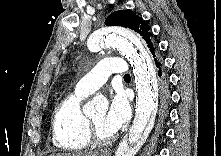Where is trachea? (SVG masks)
<instances>
[{"mask_svg":"<svg viewBox=\"0 0 221 156\" xmlns=\"http://www.w3.org/2000/svg\"><path fill=\"white\" fill-rule=\"evenodd\" d=\"M124 78H130L129 74L124 75Z\"/></svg>","mask_w":221,"mask_h":156,"instance_id":"1","label":"trachea"}]
</instances>
